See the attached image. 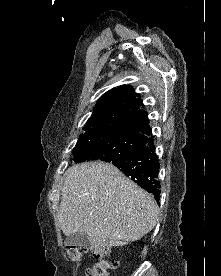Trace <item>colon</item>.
<instances>
[{
  "instance_id": "obj_1",
  "label": "colon",
  "mask_w": 221,
  "mask_h": 276,
  "mask_svg": "<svg viewBox=\"0 0 221 276\" xmlns=\"http://www.w3.org/2000/svg\"><path fill=\"white\" fill-rule=\"evenodd\" d=\"M96 258L95 263L86 271L85 276H109L111 270L117 267V261L108 257V248L105 246L74 245L67 246L66 252L70 259L79 260L88 251Z\"/></svg>"
}]
</instances>
